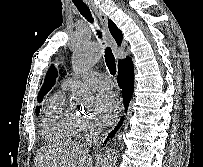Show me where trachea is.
<instances>
[{"instance_id": "1", "label": "trachea", "mask_w": 203, "mask_h": 167, "mask_svg": "<svg viewBox=\"0 0 203 167\" xmlns=\"http://www.w3.org/2000/svg\"><path fill=\"white\" fill-rule=\"evenodd\" d=\"M75 6L77 7V9L81 13V15H83V17H85V19H87V21H89L92 24L94 23V19L92 17L90 9L87 7V5H85L84 3H75ZM96 31H97L98 37L100 39H102L101 31H99V30H96ZM104 53H105L106 65H107L110 73L114 76L116 74V63H115V58H114L111 48L107 46L105 48Z\"/></svg>"}]
</instances>
